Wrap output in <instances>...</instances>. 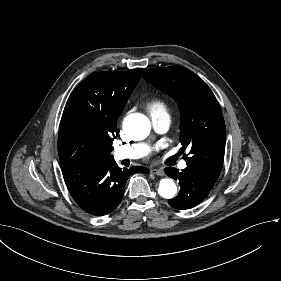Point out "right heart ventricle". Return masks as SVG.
<instances>
[{
    "label": "right heart ventricle",
    "mask_w": 281,
    "mask_h": 281,
    "mask_svg": "<svg viewBox=\"0 0 281 281\" xmlns=\"http://www.w3.org/2000/svg\"><path fill=\"white\" fill-rule=\"evenodd\" d=\"M148 108H149L150 112H152V113H155L158 111L166 112L167 104L162 99H154L149 103Z\"/></svg>",
    "instance_id": "1"
}]
</instances>
